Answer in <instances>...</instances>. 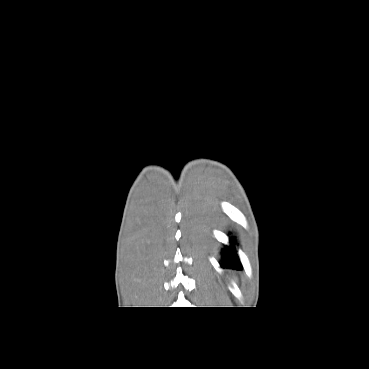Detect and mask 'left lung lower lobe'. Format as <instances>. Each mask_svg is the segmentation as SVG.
<instances>
[{
	"mask_svg": "<svg viewBox=\"0 0 369 369\" xmlns=\"http://www.w3.org/2000/svg\"><path fill=\"white\" fill-rule=\"evenodd\" d=\"M231 240L233 241V237ZM222 256L224 259L223 266L240 269L241 264L234 247L226 246L225 249L222 250Z\"/></svg>",
	"mask_w": 369,
	"mask_h": 369,
	"instance_id": "obj_1",
	"label": "left lung lower lobe"
}]
</instances>
